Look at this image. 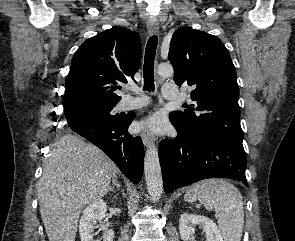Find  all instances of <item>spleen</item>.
Segmentation results:
<instances>
[{"label": "spleen", "instance_id": "obj_1", "mask_svg": "<svg viewBox=\"0 0 295 241\" xmlns=\"http://www.w3.org/2000/svg\"><path fill=\"white\" fill-rule=\"evenodd\" d=\"M185 201L199 200L207 210L218 215L223 241H240L244 225L243 198L239 190L224 179L213 178L189 187Z\"/></svg>", "mask_w": 295, "mask_h": 241}]
</instances>
